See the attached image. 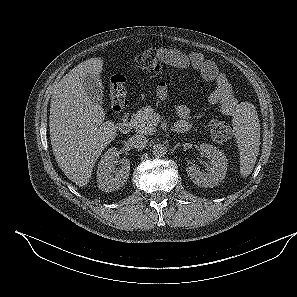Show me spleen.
<instances>
[{"instance_id": "spleen-1", "label": "spleen", "mask_w": 297, "mask_h": 297, "mask_svg": "<svg viewBox=\"0 0 297 297\" xmlns=\"http://www.w3.org/2000/svg\"><path fill=\"white\" fill-rule=\"evenodd\" d=\"M233 124L240 151V173L247 177L254 168L260 146V124L254 106L242 105L233 118Z\"/></svg>"}]
</instances>
